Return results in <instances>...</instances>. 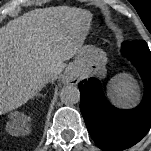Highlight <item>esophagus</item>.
<instances>
[{
    "instance_id": "1",
    "label": "esophagus",
    "mask_w": 151,
    "mask_h": 151,
    "mask_svg": "<svg viewBox=\"0 0 151 151\" xmlns=\"http://www.w3.org/2000/svg\"><path fill=\"white\" fill-rule=\"evenodd\" d=\"M63 81L65 84L76 85L79 83L80 78L76 73L70 72L65 76Z\"/></svg>"
}]
</instances>
